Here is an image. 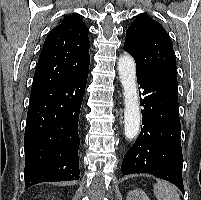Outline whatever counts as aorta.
Returning <instances> with one entry per match:
<instances>
[{"label":"aorta","mask_w":201,"mask_h":200,"mask_svg":"<svg viewBox=\"0 0 201 200\" xmlns=\"http://www.w3.org/2000/svg\"><path fill=\"white\" fill-rule=\"evenodd\" d=\"M118 71L124 95V132L133 139L140 128V110L136 83V65L132 56L121 55L118 59Z\"/></svg>","instance_id":"762f6f07"}]
</instances>
